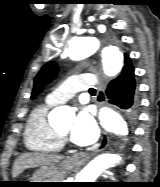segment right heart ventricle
Returning a JSON list of instances; mask_svg holds the SVG:
<instances>
[{"label":"right heart ventricle","instance_id":"e07e8e85","mask_svg":"<svg viewBox=\"0 0 160 187\" xmlns=\"http://www.w3.org/2000/svg\"><path fill=\"white\" fill-rule=\"evenodd\" d=\"M52 105L44 103L32 110L25 125L24 144L33 152L57 154L63 148V141L56 129L47 121L46 114Z\"/></svg>","mask_w":160,"mask_h":187}]
</instances>
